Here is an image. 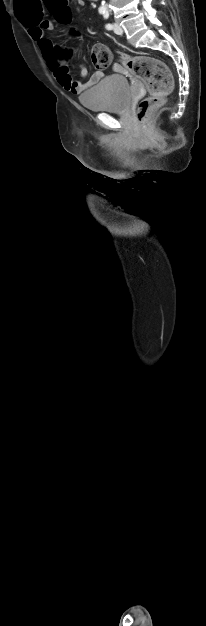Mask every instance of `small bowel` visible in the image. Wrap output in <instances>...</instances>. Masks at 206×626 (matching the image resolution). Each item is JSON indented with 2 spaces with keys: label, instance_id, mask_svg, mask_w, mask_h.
<instances>
[{
  "label": "small bowel",
  "instance_id": "obj_1",
  "mask_svg": "<svg viewBox=\"0 0 206 626\" xmlns=\"http://www.w3.org/2000/svg\"><path fill=\"white\" fill-rule=\"evenodd\" d=\"M84 3V0H77L78 6H84ZM27 27L29 28L31 38L38 44L42 56L52 70L55 79L65 90L76 95L81 94L103 77V73L97 71L91 75L87 82L73 80L67 65L57 57L54 44L45 36L46 31L53 29L52 22L49 20H40L35 24L28 23ZM118 68H120V66H118ZM79 74L81 77L88 75V69L85 65H80Z\"/></svg>",
  "mask_w": 206,
  "mask_h": 626
}]
</instances>
